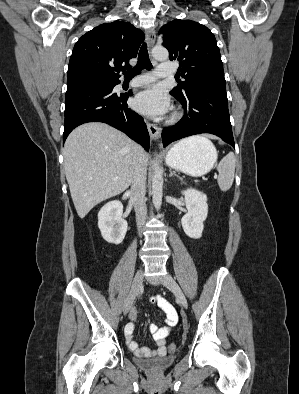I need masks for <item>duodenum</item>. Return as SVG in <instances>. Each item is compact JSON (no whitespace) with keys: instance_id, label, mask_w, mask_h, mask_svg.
Returning <instances> with one entry per match:
<instances>
[{"instance_id":"obj_1","label":"duodenum","mask_w":299,"mask_h":394,"mask_svg":"<svg viewBox=\"0 0 299 394\" xmlns=\"http://www.w3.org/2000/svg\"><path fill=\"white\" fill-rule=\"evenodd\" d=\"M129 195H130V193H129V192H126V193L124 194V196H123V199H127V198L129 197Z\"/></svg>"}]
</instances>
